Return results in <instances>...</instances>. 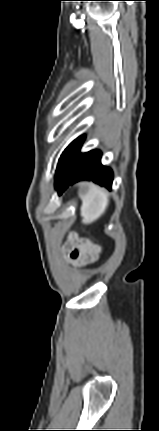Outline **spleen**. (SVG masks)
Returning a JSON list of instances; mask_svg holds the SVG:
<instances>
[{"label":"spleen","mask_w":159,"mask_h":431,"mask_svg":"<svg viewBox=\"0 0 159 431\" xmlns=\"http://www.w3.org/2000/svg\"><path fill=\"white\" fill-rule=\"evenodd\" d=\"M108 203V192L98 186L92 187L90 192L82 198V222L90 224L97 220L105 212Z\"/></svg>","instance_id":"spleen-1"}]
</instances>
